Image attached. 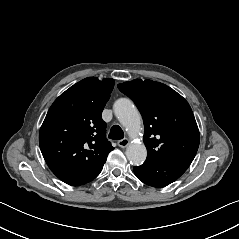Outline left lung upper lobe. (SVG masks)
<instances>
[{"label": "left lung upper lobe", "instance_id": "obj_1", "mask_svg": "<svg viewBox=\"0 0 239 239\" xmlns=\"http://www.w3.org/2000/svg\"><path fill=\"white\" fill-rule=\"evenodd\" d=\"M144 121L146 162L190 164L199 147V130L188 102L165 84L136 79L118 84Z\"/></svg>", "mask_w": 239, "mask_h": 239}]
</instances>
